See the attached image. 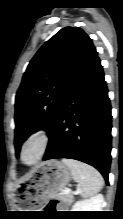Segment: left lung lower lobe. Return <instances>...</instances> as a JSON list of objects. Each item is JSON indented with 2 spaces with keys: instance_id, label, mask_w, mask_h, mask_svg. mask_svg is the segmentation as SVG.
<instances>
[{
  "instance_id": "obj_1",
  "label": "left lung lower lobe",
  "mask_w": 123,
  "mask_h": 219,
  "mask_svg": "<svg viewBox=\"0 0 123 219\" xmlns=\"http://www.w3.org/2000/svg\"><path fill=\"white\" fill-rule=\"evenodd\" d=\"M111 105L97 57L79 76L49 132L43 160L68 158L95 167L108 183Z\"/></svg>"
}]
</instances>
